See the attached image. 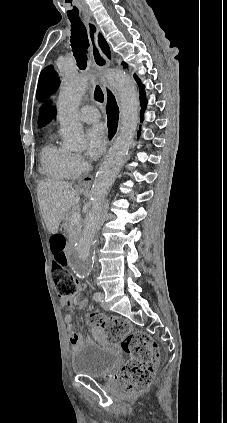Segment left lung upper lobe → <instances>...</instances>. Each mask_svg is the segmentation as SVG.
<instances>
[{"label":"left lung upper lobe","instance_id":"left-lung-upper-lobe-1","mask_svg":"<svg viewBox=\"0 0 227 423\" xmlns=\"http://www.w3.org/2000/svg\"><path fill=\"white\" fill-rule=\"evenodd\" d=\"M126 65V63H123ZM134 78L138 80L139 78L135 75ZM55 115V109L50 105H45L41 111V116L39 120V124L50 122Z\"/></svg>","mask_w":227,"mask_h":423}]
</instances>
